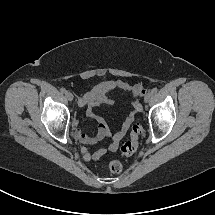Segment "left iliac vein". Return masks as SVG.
Here are the masks:
<instances>
[{
	"instance_id": "left-iliac-vein-1",
	"label": "left iliac vein",
	"mask_w": 215,
	"mask_h": 215,
	"mask_svg": "<svg viewBox=\"0 0 215 215\" xmlns=\"http://www.w3.org/2000/svg\"><path fill=\"white\" fill-rule=\"evenodd\" d=\"M152 96L153 94L151 92L147 93L144 97V101L148 103L151 100Z\"/></svg>"
}]
</instances>
